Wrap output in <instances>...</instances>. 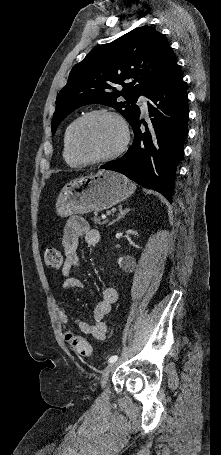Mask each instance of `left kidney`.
<instances>
[{"mask_svg":"<svg viewBox=\"0 0 221 455\" xmlns=\"http://www.w3.org/2000/svg\"><path fill=\"white\" fill-rule=\"evenodd\" d=\"M132 261H133V258L127 255V256L120 257L118 259V264L120 267H125V266L130 265L132 263Z\"/></svg>","mask_w":221,"mask_h":455,"instance_id":"obj_1","label":"left kidney"}]
</instances>
